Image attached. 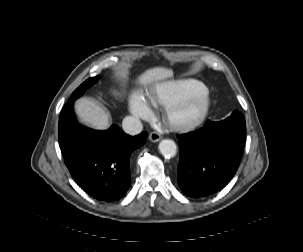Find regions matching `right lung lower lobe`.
Returning <instances> with one entry per match:
<instances>
[{"mask_svg": "<svg viewBox=\"0 0 303 252\" xmlns=\"http://www.w3.org/2000/svg\"><path fill=\"white\" fill-rule=\"evenodd\" d=\"M75 98L68 100L59 120V146L65 164L78 185L92 197L114 201L131 184L130 154L147 140V132L125 134L112 125L106 131L81 127L75 118Z\"/></svg>", "mask_w": 303, "mask_h": 252, "instance_id": "98d812e1", "label": "right lung lower lobe"}]
</instances>
